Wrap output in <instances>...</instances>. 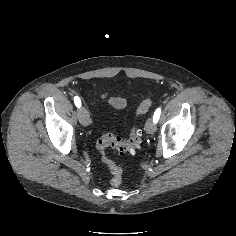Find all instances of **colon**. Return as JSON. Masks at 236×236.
I'll use <instances>...</instances> for the list:
<instances>
[{"label": "colon", "instance_id": "obj_1", "mask_svg": "<svg viewBox=\"0 0 236 236\" xmlns=\"http://www.w3.org/2000/svg\"><path fill=\"white\" fill-rule=\"evenodd\" d=\"M153 101L151 99L144 100L136 109V116L139 117L145 114L152 106ZM142 144V131L139 127L134 125L129 133L127 139L114 136L112 134L103 135L96 142V149L101 156L102 162L108 167L112 179L111 184L115 187L119 186L122 182L123 170L122 168L110 160L106 155L108 148L117 150L120 153H134L140 149Z\"/></svg>", "mask_w": 236, "mask_h": 236}]
</instances>
